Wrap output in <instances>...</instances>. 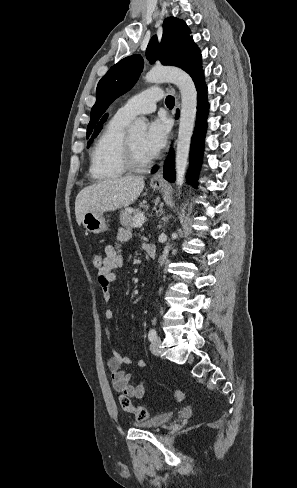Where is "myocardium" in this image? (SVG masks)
<instances>
[{
	"label": "myocardium",
	"mask_w": 297,
	"mask_h": 488,
	"mask_svg": "<svg viewBox=\"0 0 297 488\" xmlns=\"http://www.w3.org/2000/svg\"><path fill=\"white\" fill-rule=\"evenodd\" d=\"M123 164L127 170L141 172L150 167V165L152 164V159L150 158L145 162L137 161L134 155V150L130 138L126 137L123 148Z\"/></svg>",
	"instance_id": "obj_1"
}]
</instances>
